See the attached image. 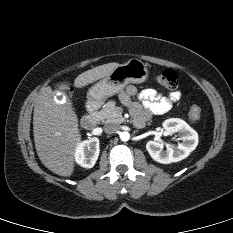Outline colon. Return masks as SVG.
Returning a JSON list of instances; mask_svg holds the SVG:
<instances>
[{"label": "colon", "mask_w": 233, "mask_h": 233, "mask_svg": "<svg viewBox=\"0 0 233 233\" xmlns=\"http://www.w3.org/2000/svg\"><path fill=\"white\" fill-rule=\"evenodd\" d=\"M177 73L174 70H165L156 77V81L169 90L177 88ZM201 117V107L193 104L189 110V118L192 122H196Z\"/></svg>", "instance_id": "colon-1"}]
</instances>
